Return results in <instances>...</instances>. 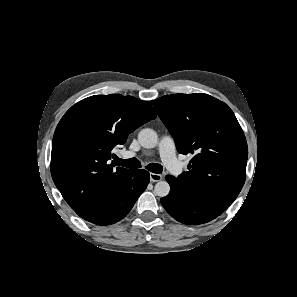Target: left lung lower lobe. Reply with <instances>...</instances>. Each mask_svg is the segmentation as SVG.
Instances as JSON below:
<instances>
[{
    "mask_svg": "<svg viewBox=\"0 0 297 297\" xmlns=\"http://www.w3.org/2000/svg\"><path fill=\"white\" fill-rule=\"evenodd\" d=\"M165 178L170 185V192L166 197L161 198V203L177 221L183 224L199 225L219 216L218 213L187 194L173 176L166 175Z\"/></svg>",
    "mask_w": 297,
    "mask_h": 297,
    "instance_id": "left-lung-lower-lobe-1",
    "label": "left lung lower lobe"
}]
</instances>
